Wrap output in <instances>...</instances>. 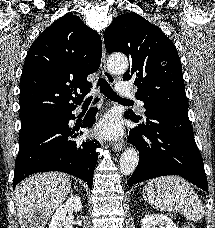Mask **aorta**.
Returning a JSON list of instances; mask_svg holds the SVG:
<instances>
[{"label": "aorta", "mask_w": 215, "mask_h": 228, "mask_svg": "<svg viewBox=\"0 0 215 228\" xmlns=\"http://www.w3.org/2000/svg\"><path fill=\"white\" fill-rule=\"evenodd\" d=\"M109 66L116 72H126L129 62L126 56H115V58H110ZM138 162L139 152L135 148H128L119 160V170L124 176H130L136 170Z\"/></svg>", "instance_id": "1"}]
</instances>
